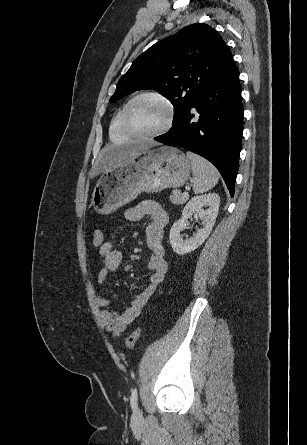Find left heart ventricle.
<instances>
[{"mask_svg": "<svg viewBox=\"0 0 307 445\" xmlns=\"http://www.w3.org/2000/svg\"><path fill=\"white\" fill-rule=\"evenodd\" d=\"M131 118L138 131L153 132L164 125L167 119V110L158 100L145 99L135 104Z\"/></svg>", "mask_w": 307, "mask_h": 445, "instance_id": "left-heart-ventricle-1", "label": "left heart ventricle"}]
</instances>
